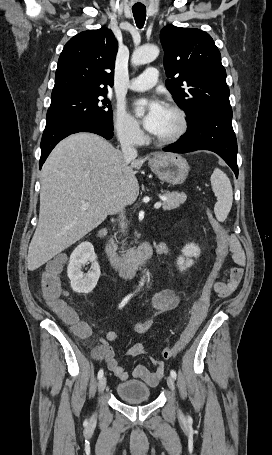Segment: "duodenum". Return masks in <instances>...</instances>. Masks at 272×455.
Masks as SVG:
<instances>
[{
	"label": "duodenum",
	"mask_w": 272,
	"mask_h": 455,
	"mask_svg": "<svg viewBox=\"0 0 272 455\" xmlns=\"http://www.w3.org/2000/svg\"><path fill=\"white\" fill-rule=\"evenodd\" d=\"M106 234V230L102 229L98 233V238L102 239ZM153 247L146 243L139 247L131 254L120 257L110 249H105V255L110 267L123 278H130L134 275L140 264L153 254Z\"/></svg>",
	"instance_id": "1"
}]
</instances>
